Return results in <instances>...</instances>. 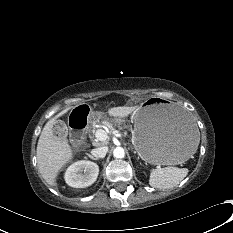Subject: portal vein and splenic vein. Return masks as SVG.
I'll use <instances>...</instances> for the list:
<instances>
[{
	"label": "portal vein and splenic vein",
	"instance_id": "obj_1",
	"mask_svg": "<svg viewBox=\"0 0 233 233\" xmlns=\"http://www.w3.org/2000/svg\"><path fill=\"white\" fill-rule=\"evenodd\" d=\"M95 137L98 141H106L108 138V135L105 130L98 129L95 132Z\"/></svg>",
	"mask_w": 233,
	"mask_h": 233
}]
</instances>
